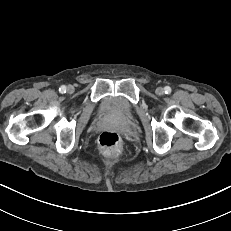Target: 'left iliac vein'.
I'll return each instance as SVG.
<instances>
[{
  "mask_svg": "<svg viewBox=\"0 0 231 231\" xmlns=\"http://www.w3.org/2000/svg\"><path fill=\"white\" fill-rule=\"evenodd\" d=\"M155 93L159 96H162L164 94V89L162 87H158L156 88Z\"/></svg>",
  "mask_w": 231,
  "mask_h": 231,
  "instance_id": "4c4485c4",
  "label": "left iliac vein"
}]
</instances>
